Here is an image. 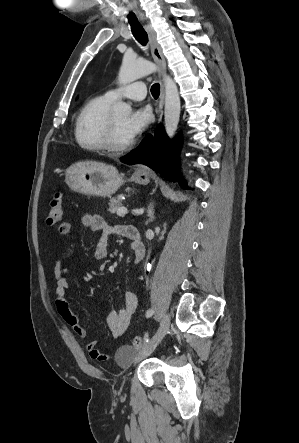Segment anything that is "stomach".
<instances>
[{
	"mask_svg": "<svg viewBox=\"0 0 299 443\" xmlns=\"http://www.w3.org/2000/svg\"><path fill=\"white\" fill-rule=\"evenodd\" d=\"M138 184L149 183V175L143 172H134L130 178ZM124 179L117 169L105 164H88L80 162L72 165L65 173V183L75 192L109 197L124 183Z\"/></svg>",
	"mask_w": 299,
	"mask_h": 443,
	"instance_id": "1",
	"label": "stomach"
}]
</instances>
